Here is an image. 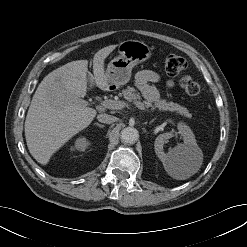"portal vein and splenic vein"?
Here are the masks:
<instances>
[{
    "label": "portal vein and splenic vein",
    "mask_w": 247,
    "mask_h": 247,
    "mask_svg": "<svg viewBox=\"0 0 247 247\" xmlns=\"http://www.w3.org/2000/svg\"><path fill=\"white\" fill-rule=\"evenodd\" d=\"M136 107H138L141 110H145V107L143 103L141 102H136L135 103ZM100 106L103 108H108V109H123L126 106V103L123 101H117V100H104L100 103Z\"/></svg>",
    "instance_id": "obj_1"
}]
</instances>
